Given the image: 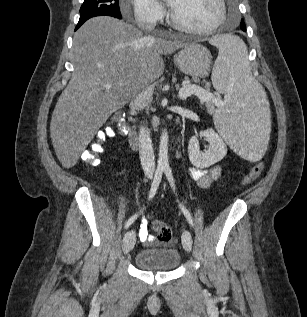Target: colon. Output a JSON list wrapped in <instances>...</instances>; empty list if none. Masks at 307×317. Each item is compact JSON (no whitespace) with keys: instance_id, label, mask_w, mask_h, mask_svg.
<instances>
[{"instance_id":"1","label":"colon","mask_w":307,"mask_h":317,"mask_svg":"<svg viewBox=\"0 0 307 317\" xmlns=\"http://www.w3.org/2000/svg\"><path fill=\"white\" fill-rule=\"evenodd\" d=\"M127 123L121 119L111 124L106 125L99 130L94 139L90 142L87 149L84 151L82 159L88 165H97L100 162V156L105 151L104 142L108 138L122 136L126 133ZM265 164L259 162L255 164L251 170L244 176L243 185L252 184L264 170ZM153 229L156 232V237L161 243H170L172 241V231L168 225L160 221H153Z\"/></svg>"}]
</instances>
